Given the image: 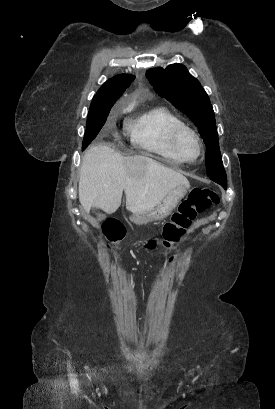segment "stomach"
<instances>
[{
  "label": "stomach",
  "instance_id": "obj_1",
  "mask_svg": "<svg viewBox=\"0 0 275 409\" xmlns=\"http://www.w3.org/2000/svg\"><path fill=\"white\" fill-rule=\"evenodd\" d=\"M189 186L187 184H178L175 188H172L156 207H153L152 211L149 213H143V215H132L130 221L135 223V225H147V223H152V221H163L166 219L175 207H177L179 200L185 196Z\"/></svg>",
  "mask_w": 275,
  "mask_h": 409
}]
</instances>
